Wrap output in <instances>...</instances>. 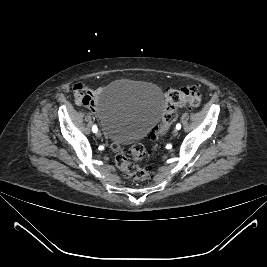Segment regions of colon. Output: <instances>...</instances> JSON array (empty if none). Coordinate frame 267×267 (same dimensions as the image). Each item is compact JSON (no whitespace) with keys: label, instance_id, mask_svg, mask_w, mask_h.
Instances as JSON below:
<instances>
[{"label":"colon","instance_id":"obj_1","mask_svg":"<svg viewBox=\"0 0 267 267\" xmlns=\"http://www.w3.org/2000/svg\"><path fill=\"white\" fill-rule=\"evenodd\" d=\"M166 104L163 111L162 123L155 127L150 139L155 141L162 137L170 128L177 118V109L187 107L192 110L201 104L202 93L199 86H186L179 89H170L167 91ZM115 163L123 174L133 180H145L152 175V171L148 166L142 164L146 156V149L142 144H134L127 151L123 150L119 145H114Z\"/></svg>","mask_w":267,"mask_h":267}]
</instances>
